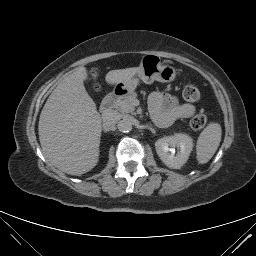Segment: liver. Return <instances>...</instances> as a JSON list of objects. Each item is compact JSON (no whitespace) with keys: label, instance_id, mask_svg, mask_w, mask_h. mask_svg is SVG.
Returning a JSON list of instances; mask_svg holds the SVG:
<instances>
[{"label":"liver","instance_id":"1","mask_svg":"<svg viewBox=\"0 0 256 256\" xmlns=\"http://www.w3.org/2000/svg\"><path fill=\"white\" fill-rule=\"evenodd\" d=\"M140 67L111 70L105 79L116 84L134 76ZM85 67L64 77L47 99L39 118L42 149L53 166L70 175L93 169L99 160L102 120L87 93Z\"/></svg>","mask_w":256,"mask_h":256}]
</instances>
